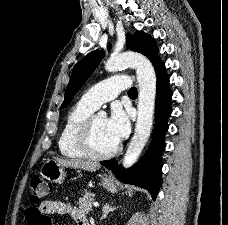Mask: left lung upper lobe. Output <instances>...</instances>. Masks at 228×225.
Here are the masks:
<instances>
[{"mask_svg": "<svg viewBox=\"0 0 228 225\" xmlns=\"http://www.w3.org/2000/svg\"><path fill=\"white\" fill-rule=\"evenodd\" d=\"M127 48L145 55L151 60L153 65L160 61L157 56L159 50L156 43L150 35L143 31H136L134 35H127ZM103 56L104 52L102 50L92 51L74 66L61 108L69 104L76 92L100 63Z\"/></svg>", "mask_w": 228, "mask_h": 225, "instance_id": "left-lung-upper-lobe-1", "label": "left lung upper lobe"}]
</instances>
